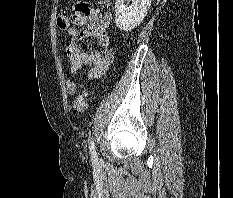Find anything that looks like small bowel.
<instances>
[{"mask_svg": "<svg viewBox=\"0 0 233 198\" xmlns=\"http://www.w3.org/2000/svg\"><path fill=\"white\" fill-rule=\"evenodd\" d=\"M104 2L109 3L110 0H104ZM71 22L73 26L67 30L71 42L65 53L70 71L66 89L68 94L73 95L78 89V82L75 80L78 75L85 72L88 79H97L113 62V53L108 47V28L112 23V14L109 11H99L86 3L79 2L74 6ZM83 26H86V29L80 31L79 27ZM86 38L97 39L100 50L88 54L82 49L80 44Z\"/></svg>", "mask_w": 233, "mask_h": 198, "instance_id": "1", "label": "small bowel"}]
</instances>
